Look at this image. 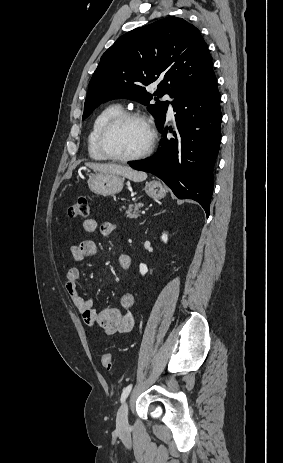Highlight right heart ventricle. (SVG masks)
<instances>
[{
	"label": "right heart ventricle",
	"mask_w": 283,
	"mask_h": 463,
	"mask_svg": "<svg viewBox=\"0 0 283 463\" xmlns=\"http://www.w3.org/2000/svg\"><path fill=\"white\" fill-rule=\"evenodd\" d=\"M122 111V106L120 104H110L104 107L102 110H100L93 119L87 135V151L92 159L98 161H103L107 159L99 149L98 135L103 125L109 119L121 113Z\"/></svg>",
	"instance_id": "e07e8e85"
}]
</instances>
